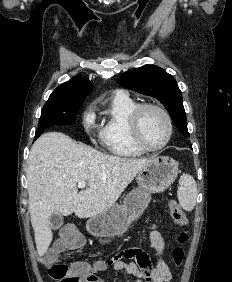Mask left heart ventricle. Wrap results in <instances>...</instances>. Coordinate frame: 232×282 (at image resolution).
Masks as SVG:
<instances>
[{
    "label": "left heart ventricle",
    "mask_w": 232,
    "mask_h": 282,
    "mask_svg": "<svg viewBox=\"0 0 232 282\" xmlns=\"http://www.w3.org/2000/svg\"><path fill=\"white\" fill-rule=\"evenodd\" d=\"M143 140L150 146L160 145L167 137L168 127L164 117L153 109L143 112L140 120Z\"/></svg>",
    "instance_id": "left-heart-ventricle-1"
}]
</instances>
